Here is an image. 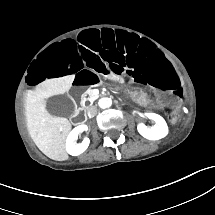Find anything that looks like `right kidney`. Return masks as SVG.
Returning <instances> with one entry per match:
<instances>
[{
  "mask_svg": "<svg viewBox=\"0 0 215 215\" xmlns=\"http://www.w3.org/2000/svg\"><path fill=\"white\" fill-rule=\"evenodd\" d=\"M77 127H79L78 132L72 130L66 141V150L72 156H77L83 153L89 145V138L87 137L84 138L81 143H76L77 136L79 133H82L84 131L89 132V128L86 124H81Z\"/></svg>",
  "mask_w": 215,
  "mask_h": 215,
  "instance_id": "obj_1",
  "label": "right kidney"
}]
</instances>
